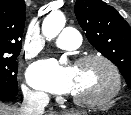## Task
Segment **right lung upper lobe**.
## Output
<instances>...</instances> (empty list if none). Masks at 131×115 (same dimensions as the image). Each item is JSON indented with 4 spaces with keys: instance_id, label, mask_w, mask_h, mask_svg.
Segmentation results:
<instances>
[{
    "instance_id": "1",
    "label": "right lung upper lobe",
    "mask_w": 131,
    "mask_h": 115,
    "mask_svg": "<svg viewBox=\"0 0 131 115\" xmlns=\"http://www.w3.org/2000/svg\"><path fill=\"white\" fill-rule=\"evenodd\" d=\"M25 10L23 0H0V53L20 52Z\"/></svg>"
}]
</instances>
